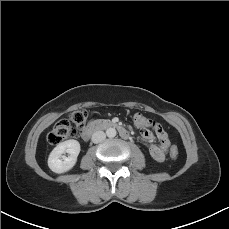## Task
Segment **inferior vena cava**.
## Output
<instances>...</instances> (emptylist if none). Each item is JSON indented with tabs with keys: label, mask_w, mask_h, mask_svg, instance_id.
<instances>
[{
	"label": "inferior vena cava",
	"mask_w": 229,
	"mask_h": 229,
	"mask_svg": "<svg viewBox=\"0 0 229 229\" xmlns=\"http://www.w3.org/2000/svg\"><path fill=\"white\" fill-rule=\"evenodd\" d=\"M106 134L103 131H96L92 135V142L93 143H100L105 140Z\"/></svg>",
	"instance_id": "inferior-vena-cava-1"
}]
</instances>
